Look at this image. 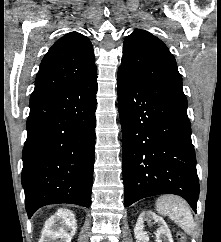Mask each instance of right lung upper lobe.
<instances>
[{"instance_id":"obj_1","label":"right lung upper lobe","mask_w":221,"mask_h":242,"mask_svg":"<svg viewBox=\"0 0 221 242\" xmlns=\"http://www.w3.org/2000/svg\"><path fill=\"white\" fill-rule=\"evenodd\" d=\"M94 60L89 39L77 32L67 33L44 56L30 100L78 85L96 73Z\"/></svg>"}]
</instances>
